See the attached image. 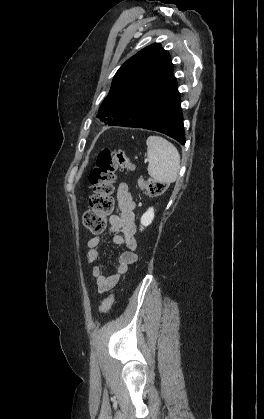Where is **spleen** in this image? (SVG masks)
<instances>
[{"label":"spleen","instance_id":"spleen-1","mask_svg":"<svg viewBox=\"0 0 264 419\" xmlns=\"http://www.w3.org/2000/svg\"><path fill=\"white\" fill-rule=\"evenodd\" d=\"M146 144L148 174L159 182H175L180 169V154L177 148L161 136H149Z\"/></svg>","mask_w":264,"mask_h":419}]
</instances>
